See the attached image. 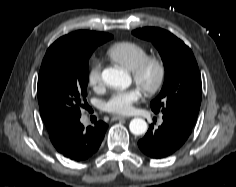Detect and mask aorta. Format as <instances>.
I'll return each instance as SVG.
<instances>
[{"instance_id":"762f6f07","label":"aorta","mask_w":236,"mask_h":187,"mask_svg":"<svg viewBox=\"0 0 236 187\" xmlns=\"http://www.w3.org/2000/svg\"><path fill=\"white\" fill-rule=\"evenodd\" d=\"M102 79L107 85L113 88L126 89L131 84L129 74L116 68L104 69L102 72ZM129 129L134 135H142L146 133L148 126L144 119L134 118L129 124Z\"/></svg>"}]
</instances>
